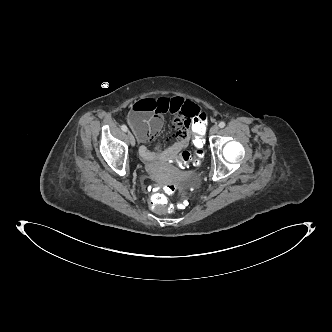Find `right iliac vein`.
<instances>
[{"instance_id":"obj_1","label":"right iliac vein","mask_w":332,"mask_h":332,"mask_svg":"<svg viewBox=\"0 0 332 332\" xmlns=\"http://www.w3.org/2000/svg\"><path fill=\"white\" fill-rule=\"evenodd\" d=\"M127 137H128V140H129V143L131 144V146H134L135 145V138H134L133 134L130 131L127 132Z\"/></svg>"}]
</instances>
